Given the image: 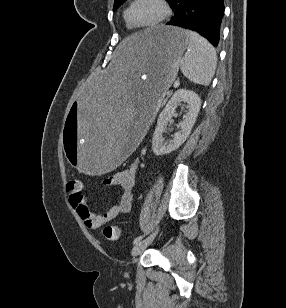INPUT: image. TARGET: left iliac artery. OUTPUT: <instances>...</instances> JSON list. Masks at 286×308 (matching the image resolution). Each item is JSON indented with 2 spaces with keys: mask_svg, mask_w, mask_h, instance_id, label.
<instances>
[{
  "mask_svg": "<svg viewBox=\"0 0 286 308\" xmlns=\"http://www.w3.org/2000/svg\"><path fill=\"white\" fill-rule=\"evenodd\" d=\"M143 237H145V234L136 237V238L134 239V242H133V243L136 244L137 242L141 241V240L143 239Z\"/></svg>",
  "mask_w": 286,
  "mask_h": 308,
  "instance_id": "1",
  "label": "left iliac artery"
}]
</instances>
